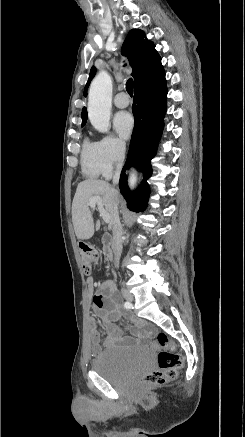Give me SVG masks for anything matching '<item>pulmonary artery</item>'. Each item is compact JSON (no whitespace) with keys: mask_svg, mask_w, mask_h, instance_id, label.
I'll list each match as a JSON object with an SVG mask.
<instances>
[{"mask_svg":"<svg viewBox=\"0 0 245 437\" xmlns=\"http://www.w3.org/2000/svg\"><path fill=\"white\" fill-rule=\"evenodd\" d=\"M129 103V98L124 92H120L114 97V105L118 108H125Z\"/></svg>","mask_w":245,"mask_h":437,"instance_id":"obj_1","label":"pulmonary artery"}]
</instances>
